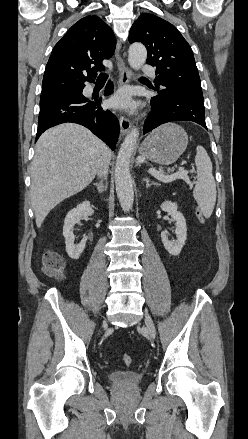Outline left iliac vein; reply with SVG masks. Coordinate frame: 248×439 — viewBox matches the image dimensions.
<instances>
[{"label": "left iliac vein", "mask_w": 248, "mask_h": 439, "mask_svg": "<svg viewBox=\"0 0 248 439\" xmlns=\"http://www.w3.org/2000/svg\"><path fill=\"white\" fill-rule=\"evenodd\" d=\"M144 320H145V325L150 333V336L152 338H155V335H156L155 326H154V323H153L151 317L147 313H145Z\"/></svg>", "instance_id": "obj_1"}]
</instances>
